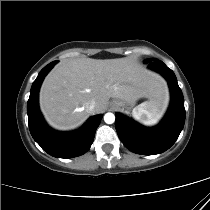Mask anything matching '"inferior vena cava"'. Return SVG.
I'll list each match as a JSON object with an SVG mask.
<instances>
[{"label":"inferior vena cava","mask_w":210,"mask_h":210,"mask_svg":"<svg viewBox=\"0 0 210 210\" xmlns=\"http://www.w3.org/2000/svg\"><path fill=\"white\" fill-rule=\"evenodd\" d=\"M95 107H96V102L94 100L90 101L87 104V109H88L89 112H93Z\"/></svg>","instance_id":"602c4592"}]
</instances>
